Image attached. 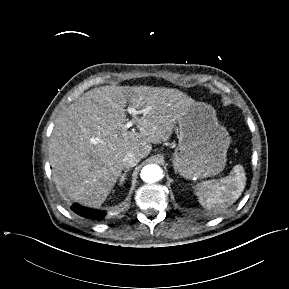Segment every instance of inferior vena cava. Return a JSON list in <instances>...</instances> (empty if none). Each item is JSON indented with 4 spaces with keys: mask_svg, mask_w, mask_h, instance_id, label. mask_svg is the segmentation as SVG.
I'll use <instances>...</instances> for the list:
<instances>
[{
    "mask_svg": "<svg viewBox=\"0 0 289 289\" xmlns=\"http://www.w3.org/2000/svg\"><path fill=\"white\" fill-rule=\"evenodd\" d=\"M140 157L135 155L133 152L127 153L123 158V166L125 168H132L140 162Z\"/></svg>",
    "mask_w": 289,
    "mask_h": 289,
    "instance_id": "1",
    "label": "inferior vena cava"
}]
</instances>
